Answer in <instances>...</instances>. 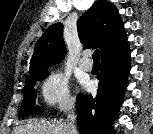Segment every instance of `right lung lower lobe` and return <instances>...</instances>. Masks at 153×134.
Here are the masks:
<instances>
[{
    "instance_id": "1",
    "label": "right lung lower lobe",
    "mask_w": 153,
    "mask_h": 134,
    "mask_svg": "<svg viewBox=\"0 0 153 134\" xmlns=\"http://www.w3.org/2000/svg\"><path fill=\"white\" fill-rule=\"evenodd\" d=\"M130 70L129 43L101 56L97 95L78 94L76 108L80 134H114V120L123 102Z\"/></svg>"
}]
</instances>
